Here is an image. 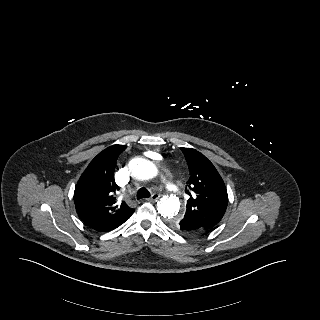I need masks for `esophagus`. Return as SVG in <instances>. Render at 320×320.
<instances>
[{
    "instance_id": "34e87169",
    "label": "esophagus",
    "mask_w": 320,
    "mask_h": 320,
    "mask_svg": "<svg viewBox=\"0 0 320 320\" xmlns=\"http://www.w3.org/2000/svg\"><path fill=\"white\" fill-rule=\"evenodd\" d=\"M159 195L154 193L150 198L147 199V201L155 202L159 199Z\"/></svg>"
}]
</instances>
